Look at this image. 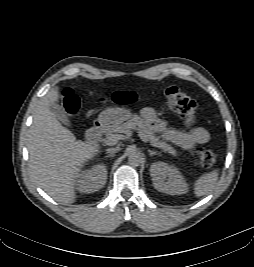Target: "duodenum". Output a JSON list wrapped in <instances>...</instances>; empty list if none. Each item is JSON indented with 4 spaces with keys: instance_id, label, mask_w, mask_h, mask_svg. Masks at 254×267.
I'll return each instance as SVG.
<instances>
[{
    "instance_id": "duodenum-1",
    "label": "duodenum",
    "mask_w": 254,
    "mask_h": 267,
    "mask_svg": "<svg viewBox=\"0 0 254 267\" xmlns=\"http://www.w3.org/2000/svg\"><path fill=\"white\" fill-rule=\"evenodd\" d=\"M103 132H104V125L100 122H97L87 130L86 140L91 144H95L99 141Z\"/></svg>"
}]
</instances>
